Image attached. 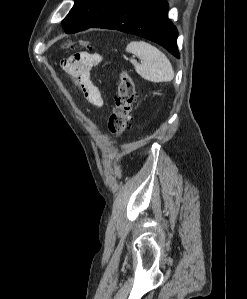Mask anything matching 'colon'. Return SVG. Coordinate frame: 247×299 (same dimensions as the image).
<instances>
[{"instance_id": "colon-1", "label": "colon", "mask_w": 247, "mask_h": 299, "mask_svg": "<svg viewBox=\"0 0 247 299\" xmlns=\"http://www.w3.org/2000/svg\"><path fill=\"white\" fill-rule=\"evenodd\" d=\"M85 47L92 50L91 44L85 41L77 43L66 41L63 44L64 48L72 46ZM135 97V85L127 72H122L120 75L117 95L115 97V104L113 111L109 117L108 130L115 138H121L130 127V112Z\"/></svg>"}]
</instances>
